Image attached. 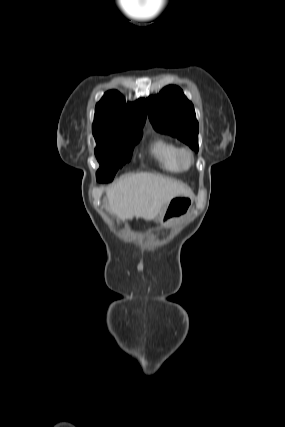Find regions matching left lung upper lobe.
<instances>
[{
  "mask_svg": "<svg viewBox=\"0 0 285 427\" xmlns=\"http://www.w3.org/2000/svg\"><path fill=\"white\" fill-rule=\"evenodd\" d=\"M147 110L153 127L168 133L198 151V122L193 104L177 86H167L147 99Z\"/></svg>",
  "mask_w": 285,
  "mask_h": 427,
  "instance_id": "obj_1",
  "label": "left lung upper lobe"
}]
</instances>
